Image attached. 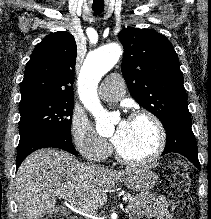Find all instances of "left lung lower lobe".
<instances>
[{"instance_id": "obj_1", "label": "left lung lower lobe", "mask_w": 211, "mask_h": 219, "mask_svg": "<svg viewBox=\"0 0 211 219\" xmlns=\"http://www.w3.org/2000/svg\"><path fill=\"white\" fill-rule=\"evenodd\" d=\"M191 117H176L165 126L167 142L162 155L167 153H179L185 156L198 169V149L195 136L191 129Z\"/></svg>"}]
</instances>
